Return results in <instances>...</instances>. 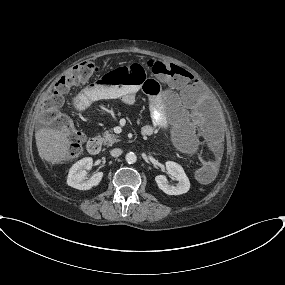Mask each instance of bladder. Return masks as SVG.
<instances>
[{
    "mask_svg": "<svg viewBox=\"0 0 285 285\" xmlns=\"http://www.w3.org/2000/svg\"><path fill=\"white\" fill-rule=\"evenodd\" d=\"M175 147L178 151L188 153L193 150L194 146L191 142V138H180L176 141Z\"/></svg>",
    "mask_w": 285,
    "mask_h": 285,
    "instance_id": "1",
    "label": "bladder"
}]
</instances>
